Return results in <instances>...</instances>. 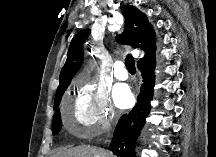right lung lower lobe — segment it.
<instances>
[{"label": "right lung lower lobe", "instance_id": "98d812e1", "mask_svg": "<svg viewBox=\"0 0 216 157\" xmlns=\"http://www.w3.org/2000/svg\"><path fill=\"white\" fill-rule=\"evenodd\" d=\"M155 67V56L144 63L138 64L143 77V88L137 97V104L129 114L120 118L115 128L111 151L117 157H137L135 156L136 138L150 111V101L153 97L155 84Z\"/></svg>", "mask_w": 216, "mask_h": 157}]
</instances>
